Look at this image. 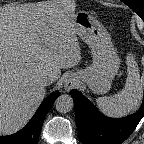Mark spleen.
I'll use <instances>...</instances> for the list:
<instances>
[{
	"mask_svg": "<svg viewBox=\"0 0 144 144\" xmlns=\"http://www.w3.org/2000/svg\"><path fill=\"white\" fill-rule=\"evenodd\" d=\"M128 76L123 89L111 96L99 97L96 103L100 110L110 117H122L135 110L141 101L143 80L140 78L136 62H128Z\"/></svg>",
	"mask_w": 144,
	"mask_h": 144,
	"instance_id": "spleen-1",
	"label": "spleen"
}]
</instances>
